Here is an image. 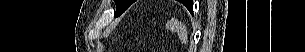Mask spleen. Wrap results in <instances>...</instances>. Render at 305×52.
Segmentation results:
<instances>
[{
	"instance_id": "spleen-1",
	"label": "spleen",
	"mask_w": 305,
	"mask_h": 52,
	"mask_svg": "<svg viewBox=\"0 0 305 52\" xmlns=\"http://www.w3.org/2000/svg\"><path fill=\"white\" fill-rule=\"evenodd\" d=\"M174 28L176 29V31L178 32V35L180 34V28L178 27V24L174 23Z\"/></svg>"
}]
</instances>
